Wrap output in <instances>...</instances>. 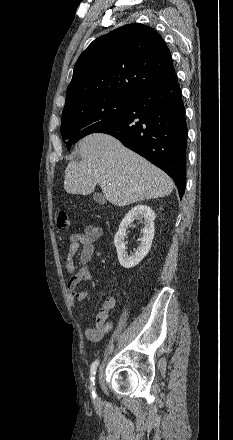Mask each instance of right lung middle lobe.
Returning a JSON list of instances; mask_svg holds the SVG:
<instances>
[{"label": "right lung middle lobe", "mask_w": 233, "mask_h": 440, "mask_svg": "<svg viewBox=\"0 0 233 440\" xmlns=\"http://www.w3.org/2000/svg\"><path fill=\"white\" fill-rule=\"evenodd\" d=\"M128 103L129 99L90 98L64 107L61 135L68 150L81 138L97 132L120 117Z\"/></svg>", "instance_id": "1"}]
</instances>
